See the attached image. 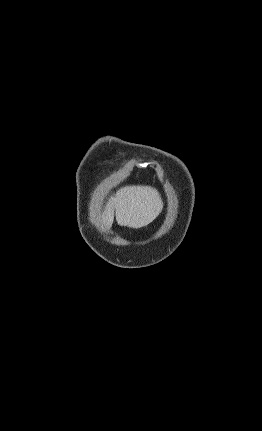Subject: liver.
<instances>
[{
	"mask_svg": "<svg viewBox=\"0 0 262 431\" xmlns=\"http://www.w3.org/2000/svg\"><path fill=\"white\" fill-rule=\"evenodd\" d=\"M163 202L158 191L149 186H127L118 191L103 213V224L111 228L114 220L120 226L141 228L150 224L162 211Z\"/></svg>",
	"mask_w": 262,
	"mask_h": 431,
	"instance_id": "liver-1",
	"label": "liver"
}]
</instances>
